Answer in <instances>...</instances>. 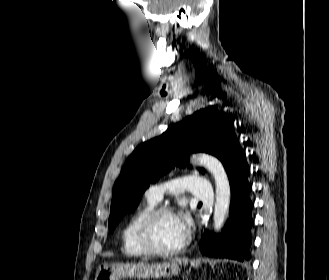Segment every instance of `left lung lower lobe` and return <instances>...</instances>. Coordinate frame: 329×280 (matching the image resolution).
I'll return each mask as SVG.
<instances>
[{
	"mask_svg": "<svg viewBox=\"0 0 329 280\" xmlns=\"http://www.w3.org/2000/svg\"><path fill=\"white\" fill-rule=\"evenodd\" d=\"M249 173L250 168L243 152L239 167L228 175L232 194L230 218L221 234L203 236L200 243L203 254L240 261L250 259L253 204L249 198L252 189L247 179Z\"/></svg>",
	"mask_w": 329,
	"mask_h": 280,
	"instance_id": "1",
	"label": "left lung lower lobe"
}]
</instances>
